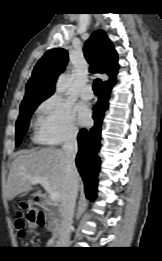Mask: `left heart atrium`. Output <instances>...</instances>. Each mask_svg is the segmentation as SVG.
<instances>
[{
  "label": "left heart atrium",
  "mask_w": 162,
  "mask_h": 261,
  "mask_svg": "<svg viewBox=\"0 0 162 261\" xmlns=\"http://www.w3.org/2000/svg\"><path fill=\"white\" fill-rule=\"evenodd\" d=\"M79 121L83 125H87L91 120V111L86 104H79L77 106Z\"/></svg>",
  "instance_id": "left-heart-atrium-1"
}]
</instances>
